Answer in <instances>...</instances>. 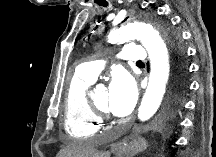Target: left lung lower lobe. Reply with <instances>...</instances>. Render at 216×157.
Wrapping results in <instances>:
<instances>
[{
  "mask_svg": "<svg viewBox=\"0 0 216 157\" xmlns=\"http://www.w3.org/2000/svg\"><path fill=\"white\" fill-rule=\"evenodd\" d=\"M186 72H187V68H186ZM186 89H187L186 73L184 79L182 80L179 76V72L176 69H174V73L172 75L171 95L169 100L170 109L179 104L181 96L183 95Z\"/></svg>",
  "mask_w": 216,
  "mask_h": 157,
  "instance_id": "1",
  "label": "left lung lower lobe"
}]
</instances>
